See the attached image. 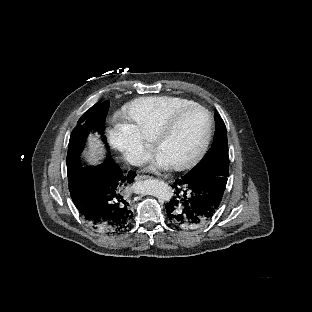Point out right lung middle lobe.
<instances>
[{
	"label": "right lung middle lobe",
	"instance_id": "obj_1",
	"mask_svg": "<svg viewBox=\"0 0 312 312\" xmlns=\"http://www.w3.org/2000/svg\"><path fill=\"white\" fill-rule=\"evenodd\" d=\"M108 108L109 101H105L101 104L96 103L82 115L78 121V125L73 129L69 140L66 159L68 177L76 170L77 166L81 164L80 155L90 131H96L102 136L104 142H106L103 133Z\"/></svg>",
	"mask_w": 312,
	"mask_h": 312
}]
</instances>
